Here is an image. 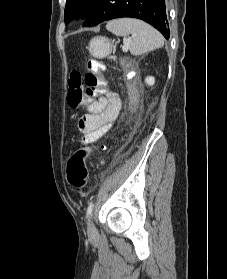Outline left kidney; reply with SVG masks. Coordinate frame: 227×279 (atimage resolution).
<instances>
[{"label": "left kidney", "instance_id": "5707ae66", "mask_svg": "<svg viewBox=\"0 0 227 279\" xmlns=\"http://www.w3.org/2000/svg\"><path fill=\"white\" fill-rule=\"evenodd\" d=\"M145 83L150 85V86L154 85V83H155L154 77H152V76L146 77Z\"/></svg>", "mask_w": 227, "mask_h": 279}]
</instances>
